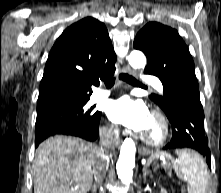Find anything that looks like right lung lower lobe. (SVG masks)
<instances>
[{"label":"right lung lower lobe","mask_w":221,"mask_h":193,"mask_svg":"<svg viewBox=\"0 0 221 193\" xmlns=\"http://www.w3.org/2000/svg\"><path fill=\"white\" fill-rule=\"evenodd\" d=\"M100 117H101V114L99 116L96 126H94L91 129L84 130V129H77V128H66L58 133H55V134L73 135V136H78V137L84 138L89 141H94L97 139V137L99 135L98 126H99ZM55 134L45 135V136H41V137H35V147H37L39 145V143L41 141L45 140L47 137L55 135Z\"/></svg>","instance_id":"1"}]
</instances>
